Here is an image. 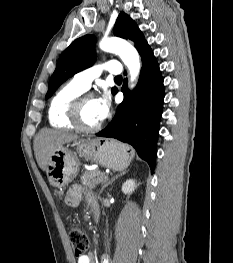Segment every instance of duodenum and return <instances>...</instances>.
<instances>
[{
	"instance_id": "obj_1",
	"label": "duodenum",
	"mask_w": 233,
	"mask_h": 263,
	"mask_svg": "<svg viewBox=\"0 0 233 263\" xmlns=\"http://www.w3.org/2000/svg\"><path fill=\"white\" fill-rule=\"evenodd\" d=\"M93 212H94V214H95V217H96V218H99V209H98L97 206H95V207L93 208Z\"/></svg>"
}]
</instances>
